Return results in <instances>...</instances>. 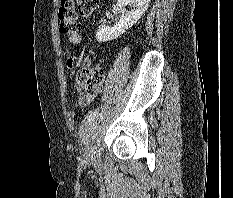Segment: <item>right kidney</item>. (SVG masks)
<instances>
[{"instance_id": "right-kidney-1", "label": "right kidney", "mask_w": 233, "mask_h": 198, "mask_svg": "<svg viewBox=\"0 0 233 198\" xmlns=\"http://www.w3.org/2000/svg\"><path fill=\"white\" fill-rule=\"evenodd\" d=\"M150 0H118L117 8L122 12L121 18L113 27L101 25L96 31V39L99 42H106L117 39L126 30L131 28L147 11ZM131 6V11L126 7Z\"/></svg>"}]
</instances>
